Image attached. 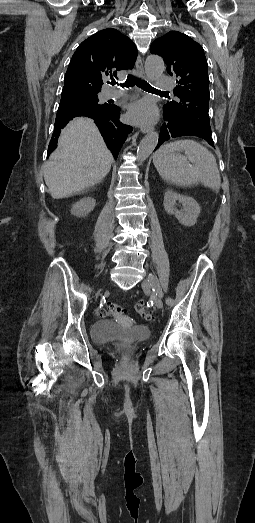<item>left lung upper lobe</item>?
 <instances>
[{
  "label": "left lung upper lobe",
  "instance_id": "5c2ea615",
  "mask_svg": "<svg viewBox=\"0 0 255 523\" xmlns=\"http://www.w3.org/2000/svg\"><path fill=\"white\" fill-rule=\"evenodd\" d=\"M150 51L164 59L167 72L180 84L174 88L178 100L167 102L163 112L170 110L169 115L173 118H184V121L197 123L205 130H214L209 121L208 64L202 46L181 32L170 31L156 39Z\"/></svg>",
  "mask_w": 255,
  "mask_h": 523
}]
</instances>
